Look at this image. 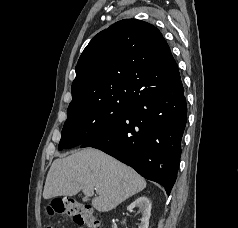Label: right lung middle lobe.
Here are the masks:
<instances>
[{
	"label": "right lung middle lobe",
	"instance_id": "obj_1",
	"mask_svg": "<svg viewBox=\"0 0 238 228\" xmlns=\"http://www.w3.org/2000/svg\"><path fill=\"white\" fill-rule=\"evenodd\" d=\"M128 103H98L67 114L59 150L79 146L116 123Z\"/></svg>",
	"mask_w": 238,
	"mask_h": 228
}]
</instances>
